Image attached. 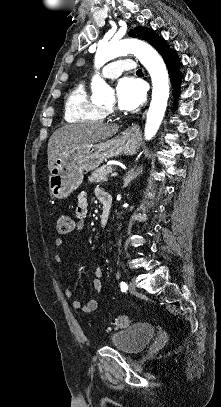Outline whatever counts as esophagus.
I'll list each match as a JSON object with an SVG mask.
<instances>
[{
	"label": "esophagus",
	"instance_id": "obj_1",
	"mask_svg": "<svg viewBox=\"0 0 221 407\" xmlns=\"http://www.w3.org/2000/svg\"><path fill=\"white\" fill-rule=\"evenodd\" d=\"M139 130H140V127H139L138 125H135V126H133V127L131 128V132H133V133H138Z\"/></svg>",
	"mask_w": 221,
	"mask_h": 407
}]
</instances>
